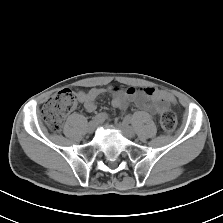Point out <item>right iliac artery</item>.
Returning a JSON list of instances; mask_svg holds the SVG:
<instances>
[{"instance_id": "right-iliac-artery-1", "label": "right iliac artery", "mask_w": 223, "mask_h": 223, "mask_svg": "<svg viewBox=\"0 0 223 223\" xmlns=\"http://www.w3.org/2000/svg\"><path fill=\"white\" fill-rule=\"evenodd\" d=\"M105 117L103 116V114H98L95 117H93V121H104Z\"/></svg>"}]
</instances>
